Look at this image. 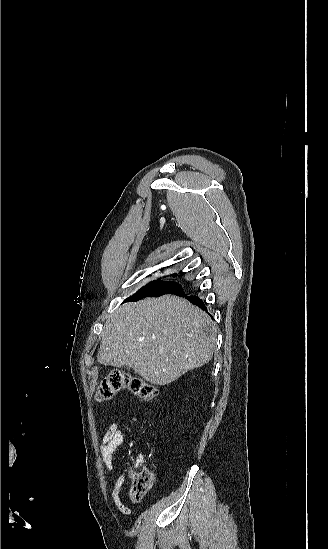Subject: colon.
Returning <instances> with one entry per match:
<instances>
[{
  "label": "colon",
  "instance_id": "1",
  "mask_svg": "<svg viewBox=\"0 0 328 549\" xmlns=\"http://www.w3.org/2000/svg\"><path fill=\"white\" fill-rule=\"evenodd\" d=\"M122 390L130 391L145 401L153 400L158 394L157 388L144 379L121 370H112L101 381L96 392V399L98 401L109 400ZM130 477L132 483L128 497L133 502L141 501L153 485L152 474L145 466L136 464L130 470Z\"/></svg>",
  "mask_w": 328,
  "mask_h": 549
}]
</instances>
